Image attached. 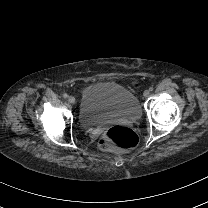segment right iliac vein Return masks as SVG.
Wrapping results in <instances>:
<instances>
[{
  "mask_svg": "<svg viewBox=\"0 0 208 208\" xmlns=\"http://www.w3.org/2000/svg\"><path fill=\"white\" fill-rule=\"evenodd\" d=\"M68 102L71 103V104H74L75 103V98L73 96H70L68 98Z\"/></svg>",
  "mask_w": 208,
  "mask_h": 208,
  "instance_id": "1",
  "label": "right iliac vein"
}]
</instances>
